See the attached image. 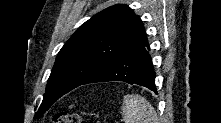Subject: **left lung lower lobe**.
Returning a JSON list of instances; mask_svg holds the SVG:
<instances>
[{
    "mask_svg": "<svg viewBox=\"0 0 221 123\" xmlns=\"http://www.w3.org/2000/svg\"><path fill=\"white\" fill-rule=\"evenodd\" d=\"M148 50L149 44L144 36L137 44L99 68L81 85L96 82L124 81L129 84L147 87L157 93L155 72Z\"/></svg>",
    "mask_w": 221,
    "mask_h": 123,
    "instance_id": "1",
    "label": "left lung lower lobe"
}]
</instances>
